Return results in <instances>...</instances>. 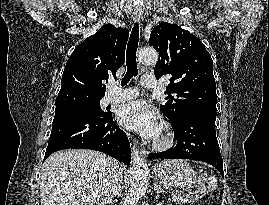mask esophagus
<instances>
[{
  "mask_svg": "<svg viewBox=\"0 0 269 205\" xmlns=\"http://www.w3.org/2000/svg\"><path fill=\"white\" fill-rule=\"evenodd\" d=\"M134 20L141 23L143 21V11L140 7H136L134 9ZM140 154L142 156H145L147 154V151L145 150L144 147L140 148Z\"/></svg>",
  "mask_w": 269,
  "mask_h": 205,
  "instance_id": "obj_1",
  "label": "esophagus"
}]
</instances>
